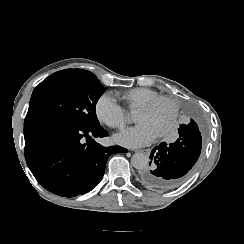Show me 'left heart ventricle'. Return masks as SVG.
Returning <instances> with one entry per match:
<instances>
[{"label": "left heart ventricle", "instance_id": "left-heart-ventricle-1", "mask_svg": "<svg viewBox=\"0 0 244 244\" xmlns=\"http://www.w3.org/2000/svg\"><path fill=\"white\" fill-rule=\"evenodd\" d=\"M134 119L139 124L150 127L158 136H161L168 127L169 106L157 103L148 111H135Z\"/></svg>", "mask_w": 244, "mask_h": 244}]
</instances>
